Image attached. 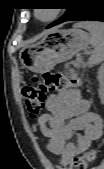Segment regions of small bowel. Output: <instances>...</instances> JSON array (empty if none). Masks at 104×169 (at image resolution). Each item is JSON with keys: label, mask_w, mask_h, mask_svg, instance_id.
<instances>
[{"label": "small bowel", "mask_w": 104, "mask_h": 169, "mask_svg": "<svg viewBox=\"0 0 104 169\" xmlns=\"http://www.w3.org/2000/svg\"><path fill=\"white\" fill-rule=\"evenodd\" d=\"M47 114L38 120L39 128L49 139V150L67 165L102 134V120L90 111L89 102L75 89L61 90L47 97ZM75 136V142L70 140Z\"/></svg>", "instance_id": "obj_1"}]
</instances>
